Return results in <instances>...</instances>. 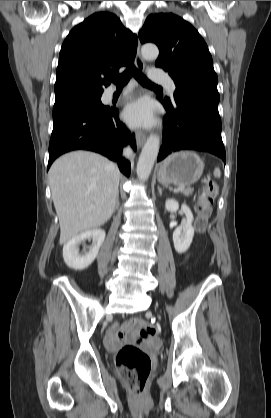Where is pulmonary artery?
Instances as JSON below:
<instances>
[{"instance_id":"pulmonary-artery-1","label":"pulmonary artery","mask_w":271,"mask_h":418,"mask_svg":"<svg viewBox=\"0 0 271 418\" xmlns=\"http://www.w3.org/2000/svg\"><path fill=\"white\" fill-rule=\"evenodd\" d=\"M150 78L155 83L162 84V85L166 86L168 92L171 95H173V93L176 89V86H175L173 80L168 75L163 74L160 71L154 69L150 72ZM113 92L114 91L111 90L110 94H112Z\"/></svg>"}]
</instances>
